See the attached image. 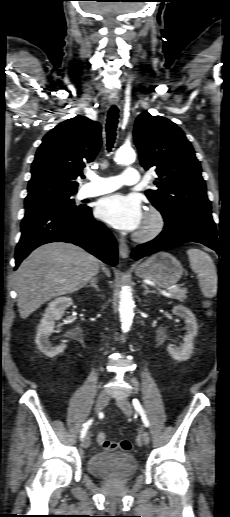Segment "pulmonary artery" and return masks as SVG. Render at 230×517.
<instances>
[{
  "mask_svg": "<svg viewBox=\"0 0 230 517\" xmlns=\"http://www.w3.org/2000/svg\"><path fill=\"white\" fill-rule=\"evenodd\" d=\"M89 179L90 182L84 188L85 197H94L110 193L123 185H136L139 183L140 175L137 169L128 167L121 176L105 177L91 174Z\"/></svg>",
  "mask_w": 230,
  "mask_h": 517,
  "instance_id": "e3ab8cb5",
  "label": "pulmonary artery"
}]
</instances>
